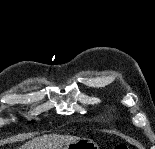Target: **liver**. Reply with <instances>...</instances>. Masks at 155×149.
Returning a JSON list of instances; mask_svg holds the SVG:
<instances>
[{"label":"liver","mask_w":155,"mask_h":149,"mask_svg":"<svg viewBox=\"0 0 155 149\" xmlns=\"http://www.w3.org/2000/svg\"><path fill=\"white\" fill-rule=\"evenodd\" d=\"M79 139V137L69 135H43L24 143L19 149H61L64 145Z\"/></svg>","instance_id":"obj_1"}]
</instances>
